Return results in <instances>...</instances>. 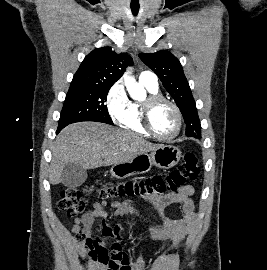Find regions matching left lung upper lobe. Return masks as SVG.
Wrapping results in <instances>:
<instances>
[{"instance_id":"obj_1","label":"left lung upper lobe","mask_w":267,"mask_h":270,"mask_svg":"<svg viewBox=\"0 0 267 270\" xmlns=\"http://www.w3.org/2000/svg\"><path fill=\"white\" fill-rule=\"evenodd\" d=\"M139 58L152 69L179 107L187 136H200L201 124L194 98L179 60L168 51L140 53Z\"/></svg>"}]
</instances>
